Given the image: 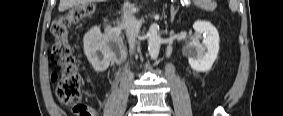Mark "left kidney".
Here are the masks:
<instances>
[{"label":"left kidney","instance_id":"1","mask_svg":"<svg viewBox=\"0 0 283 116\" xmlns=\"http://www.w3.org/2000/svg\"><path fill=\"white\" fill-rule=\"evenodd\" d=\"M193 28L197 35H203L202 43H190L186 55L191 68L198 72H207L212 68L219 51V34L208 21H196ZM206 49V52L204 50Z\"/></svg>","mask_w":283,"mask_h":116}]
</instances>
